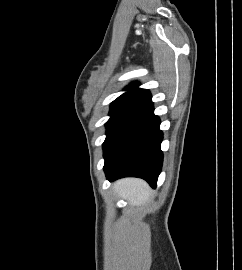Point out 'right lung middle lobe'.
<instances>
[{"label":"right lung middle lobe","instance_id":"dd1d6c3e","mask_svg":"<svg viewBox=\"0 0 242 270\" xmlns=\"http://www.w3.org/2000/svg\"><path fill=\"white\" fill-rule=\"evenodd\" d=\"M137 107L127 105H112L110 109V119L106 122V139L103 143L104 152L110 147L120 129Z\"/></svg>","mask_w":242,"mask_h":270}]
</instances>
